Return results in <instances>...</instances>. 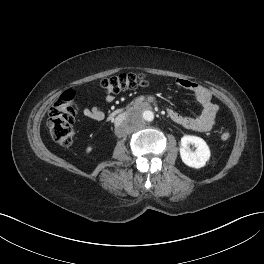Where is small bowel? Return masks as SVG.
Masks as SVG:
<instances>
[{
	"label": "small bowel",
	"mask_w": 264,
	"mask_h": 264,
	"mask_svg": "<svg viewBox=\"0 0 264 264\" xmlns=\"http://www.w3.org/2000/svg\"><path fill=\"white\" fill-rule=\"evenodd\" d=\"M176 82L180 87L191 91L195 95L200 110L196 117H188L168 109L169 118L177 125L191 131L207 132L211 130L218 112V106L212 102L211 93L200 84L188 79H178ZM104 99L107 103H110L114 100V95L105 94ZM83 114L94 121H101L105 117L103 109L98 106L85 107Z\"/></svg>",
	"instance_id": "obj_1"
}]
</instances>
